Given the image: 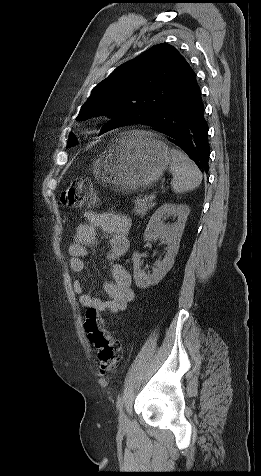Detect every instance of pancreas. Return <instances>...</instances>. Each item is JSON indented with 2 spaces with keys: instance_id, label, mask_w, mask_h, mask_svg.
<instances>
[{
  "instance_id": "1",
  "label": "pancreas",
  "mask_w": 261,
  "mask_h": 476,
  "mask_svg": "<svg viewBox=\"0 0 261 476\" xmlns=\"http://www.w3.org/2000/svg\"><path fill=\"white\" fill-rule=\"evenodd\" d=\"M155 203L153 200H149L148 197L137 198L135 200V206L133 212L135 215L144 216L146 213L154 207Z\"/></svg>"
}]
</instances>
